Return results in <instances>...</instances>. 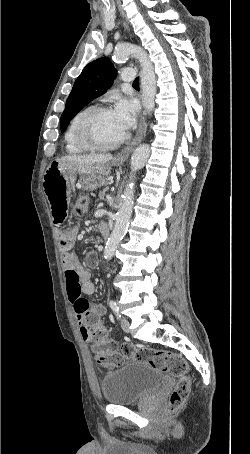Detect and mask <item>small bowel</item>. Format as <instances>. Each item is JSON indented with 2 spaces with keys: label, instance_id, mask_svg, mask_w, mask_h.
<instances>
[{
  "label": "small bowel",
  "instance_id": "c3829d8e",
  "mask_svg": "<svg viewBox=\"0 0 250 454\" xmlns=\"http://www.w3.org/2000/svg\"><path fill=\"white\" fill-rule=\"evenodd\" d=\"M75 189L76 176L72 172L50 170L45 175L44 191L51 207L53 221L57 226H61L66 221L68 205ZM75 236V229L61 234L62 264L67 295L81 326L80 334L85 341H90L89 319L91 317L102 318L106 309L102 305L91 303L85 297L92 294L95 288L90 280L89 272L70 252ZM86 258L91 264H95L97 261V255L93 251L88 252Z\"/></svg>",
  "mask_w": 250,
  "mask_h": 454
}]
</instances>
